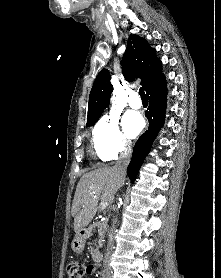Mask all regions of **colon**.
<instances>
[{"label": "colon", "instance_id": "5ec220e1", "mask_svg": "<svg viewBox=\"0 0 221 278\" xmlns=\"http://www.w3.org/2000/svg\"><path fill=\"white\" fill-rule=\"evenodd\" d=\"M91 272V266L80 261L70 262L67 266V278H84Z\"/></svg>", "mask_w": 221, "mask_h": 278}]
</instances>
